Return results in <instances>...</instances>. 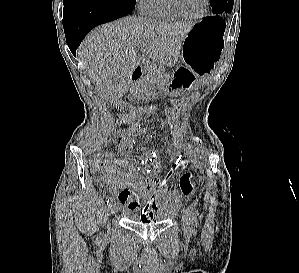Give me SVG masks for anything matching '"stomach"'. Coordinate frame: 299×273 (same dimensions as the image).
I'll use <instances>...</instances> for the list:
<instances>
[{
    "label": "stomach",
    "instance_id": "obj_1",
    "mask_svg": "<svg viewBox=\"0 0 299 273\" xmlns=\"http://www.w3.org/2000/svg\"><path fill=\"white\" fill-rule=\"evenodd\" d=\"M225 27L224 19L219 16L197 22L183 42L187 67H174L175 74L165 76L160 88L168 94L187 92L196 87L199 75L214 74L223 53Z\"/></svg>",
    "mask_w": 299,
    "mask_h": 273
}]
</instances>
